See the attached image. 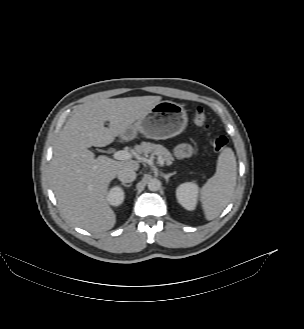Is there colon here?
<instances>
[{"instance_id":"5ec220e1","label":"colon","mask_w":304,"mask_h":329,"mask_svg":"<svg viewBox=\"0 0 304 329\" xmlns=\"http://www.w3.org/2000/svg\"><path fill=\"white\" fill-rule=\"evenodd\" d=\"M195 124L203 128L209 136V142L216 151H221L228 146V140L223 135H213L211 127L206 121V112L202 107H197L193 112Z\"/></svg>"}]
</instances>
